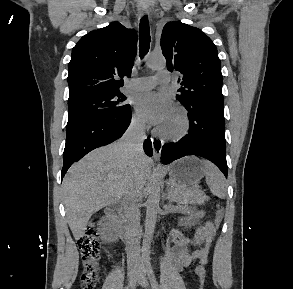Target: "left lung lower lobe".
I'll list each match as a JSON object with an SVG mask.
<instances>
[{"instance_id": "0a47b994", "label": "left lung lower lobe", "mask_w": 293, "mask_h": 289, "mask_svg": "<svg viewBox=\"0 0 293 289\" xmlns=\"http://www.w3.org/2000/svg\"><path fill=\"white\" fill-rule=\"evenodd\" d=\"M189 131L177 143L162 147L164 164L196 155L213 162L227 178L225 120L223 107L198 102L188 107Z\"/></svg>"}]
</instances>
